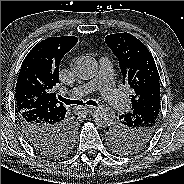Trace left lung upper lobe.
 Wrapping results in <instances>:
<instances>
[{"mask_svg":"<svg viewBox=\"0 0 184 184\" xmlns=\"http://www.w3.org/2000/svg\"><path fill=\"white\" fill-rule=\"evenodd\" d=\"M105 42L119 60L124 83L132 89V112L119 116L108 131L111 147L121 154H130L144 147L156 130L159 109L137 118L136 110L152 99H160L159 74L147 47L129 33L107 35Z\"/></svg>","mask_w":184,"mask_h":184,"instance_id":"obj_1","label":"left lung upper lobe"}]
</instances>
